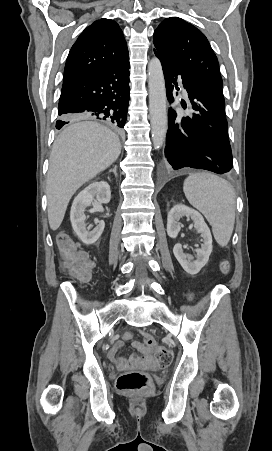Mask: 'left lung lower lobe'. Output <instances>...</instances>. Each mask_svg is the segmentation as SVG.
I'll list each match as a JSON object with an SVG mask.
<instances>
[{
  "mask_svg": "<svg viewBox=\"0 0 272 451\" xmlns=\"http://www.w3.org/2000/svg\"><path fill=\"white\" fill-rule=\"evenodd\" d=\"M154 52L162 64L169 102L174 101L173 89L177 87L179 76L195 111L192 118L187 116L179 120L176 112L169 109L165 147L167 167L174 170L205 169L218 174L229 172L233 164L225 103L161 57L156 50Z\"/></svg>",
  "mask_w": 272,
  "mask_h": 451,
  "instance_id": "0a47b994",
  "label": "left lung lower lobe"
}]
</instances>
